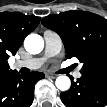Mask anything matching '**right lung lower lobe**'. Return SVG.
<instances>
[{"label": "right lung lower lobe", "mask_w": 107, "mask_h": 107, "mask_svg": "<svg viewBox=\"0 0 107 107\" xmlns=\"http://www.w3.org/2000/svg\"><path fill=\"white\" fill-rule=\"evenodd\" d=\"M42 78V72L21 75L11 70L0 74V107H30L35 83Z\"/></svg>", "instance_id": "right-lung-lower-lobe-1"}]
</instances>
